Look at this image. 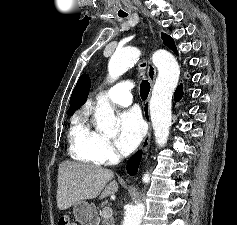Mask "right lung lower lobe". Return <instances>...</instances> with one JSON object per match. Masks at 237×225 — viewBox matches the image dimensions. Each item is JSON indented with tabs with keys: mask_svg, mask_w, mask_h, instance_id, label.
I'll use <instances>...</instances> for the list:
<instances>
[{
	"mask_svg": "<svg viewBox=\"0 0 237 225\" xmlns=\"http://www.w3.org/2000/svg\"><path fill=\"white\" fill-rule=\"evenodd\" d=\"M142 152L138 151L127 163V171L130 175H135L141 160Z\"/></svg>",
	"mask_w": 237,
	"mask_h": 225,
	"instance_id": "obj_1",
	"label": "right lung lower lobe"
}]
</instances>
